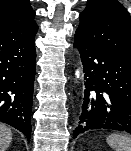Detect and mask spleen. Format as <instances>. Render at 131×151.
I'll list each match as a JSON object with an SVG mask.
<instances>
[{"label": "spleen", "mask_w": 131, "mask_h": 151, "mask_svg": "<svg viewBox=\"0 0 131 151\" xmlns=\"http://www.w3.org/2000/svg\"><path fill=\"white\" fill-rule=\"evenodd\" d=\"M107 143L115 151H131V138L125 135L112 134L107 137Z\"/></svg>", "instance_id": "3e777b00"}]
</instances>
